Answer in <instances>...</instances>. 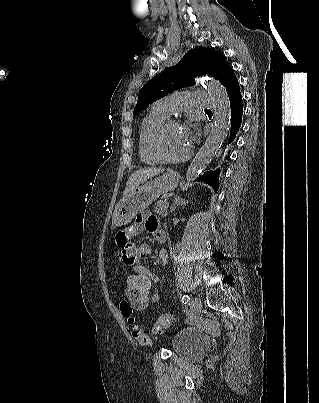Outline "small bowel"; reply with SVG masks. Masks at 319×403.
<instances>
[{"label":"small bowel","instance_id":"obj_1","mask_svg":"<svg viewBox=\"0 0 319 403\" xmlns=\"http://www.w3.org/2000/svg\"><path fill=\"white\" fill-rule=\"evenodd\" d=\"M142 232L152 234L158 243L166 242L167 237L165 232L160 228L158 218L151 213H142L136 217L131 228L129 226H122L121 230L115 231V248L121 249V262L131 265V267H142L143 275H153V284H157L159 283V277L141 264V258L152 252L150 245L141 244L139 239H135V234ZM158 260L166 266L168 264V253L165 250L159 251ZM153 284H151V288ZM159 299V294L154 293L152 300H150V305L157 303ZM132 308L135 314V306H132Z\"/></svg>","mask_w":319,"mask_h":403}]
</instances>
